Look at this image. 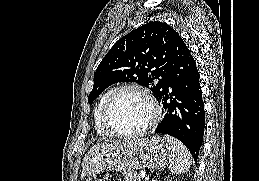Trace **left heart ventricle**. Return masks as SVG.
<instances>
[{"instance_id": "obj_1", "label": "left heart ventricle", "mask_w": 259, "mask_h": 181, "mask_svg": "<svg viewBox=\"0 0 259 181\" xmlns=\"http://www.w3.org/2000/svg\"><path fill=\"white\" fill-rule=\"evenodd\" d=\"M152 111L147 100L137 91H125L114 101L109 122L119 132H132L143 128L151 119Z\"/></svg>"}]
</instances>
